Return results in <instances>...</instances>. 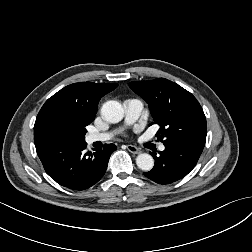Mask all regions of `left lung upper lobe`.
Listing matches in <instances>:
<instances>
[{"instance_id": "left-lung-upper-lobe-1", "label": "left lung upper lobe", "mask_w": 252, "mask_h": 252, "mask_svg": "<svg viewBox=\"0 0 252 252\" xmlns=\"http://www.w3.org/2000/svg\"><path fill=\"white\" fill-rule=\"evenodd\" d=\"M129 87L148 103L154 123L160 126L156 135L165 146L179 143L205 146L206 118L190 92L165 78L134 81Z\"/></svg>"}]
</instances>
